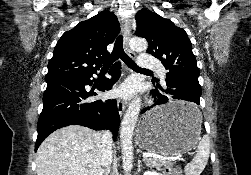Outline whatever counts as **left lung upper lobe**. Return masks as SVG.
Segmentation results:
<instances>
[{
	"instance_id": "1",
	"label": "left lung upper lobe",
	"mask_w": 251,
	"mask_h": 175,
	"mask_svg": "<svg viewBox=\"0 0 251 175\" xmlns=\"http://www.w3.org/2000/svg\"><path fill=\"white\" fill-rule=\"evenodd\" d=\"M135 19L136 36L148 41L147 53L161 60L167 76L183 74L198 79L200 72L184 29L147 9L139 10Z\"/></svg>"
}]
</instances>
